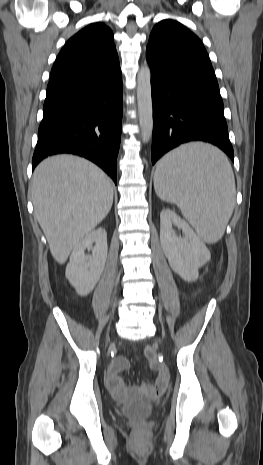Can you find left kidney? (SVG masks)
Returning a JSON list of instances; mask_svg holds the SVG:
<instances>
[{
  "mask_svg": "<svg viewBox=\"0 0 263 465\" xmlns=\"http://www.w3.org/2000/svg\"><path fill=\"white\" fill-rule=\"evenodd\" d=\"M182 230L177 236L173 227ZM160 241L169 265L182 279H198V269L210 260V252L191 226L170 209L160 213Z\"/></svg>",
  "mask_w": 263,
  "mask_h": 465,
  "instance_id": "1",
  "label": "left kidney"
}]
</instances>
